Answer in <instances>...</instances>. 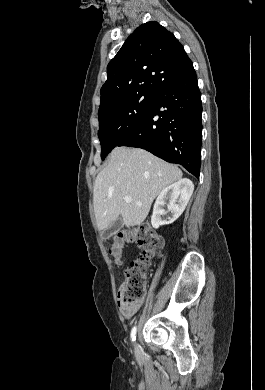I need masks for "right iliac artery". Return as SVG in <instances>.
<instances>
[{
	"label": "right iliac artery",
	"mask_w": 265,
	"mask_h": 390,
	"mask_svg": "<svg viewBox=\"0 0 265 390\" xmlns=\"http://www.w3.org/2000/svg\"><path fill=\"white\" fill-rule=\"evenodd\" d=\"M136 330H137L136 326H134L132 328V330H131V340H132V342H134L136 340Z\"/></svg>",
	"instance_id": "right-iliac-artery-1"
}]
</instances>
